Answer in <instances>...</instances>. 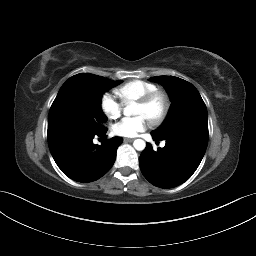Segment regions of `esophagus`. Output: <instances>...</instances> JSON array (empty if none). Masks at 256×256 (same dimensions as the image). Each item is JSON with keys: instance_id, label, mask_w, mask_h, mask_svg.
<instances>
[{"instance_id": "1", "label": "esophagus", "mask_w": 256, "mask_h": 256, "mask_svg": "<svg viewBox=\"0 0 256 256\" xmlns=\"http://www.w3.org/2000/svg\"><path fill=\"white\" fill-rule=\"evenodd\" d=\"M134 141V139L133 138H124V142H133Z\"/></svg>"}]
</instances>
